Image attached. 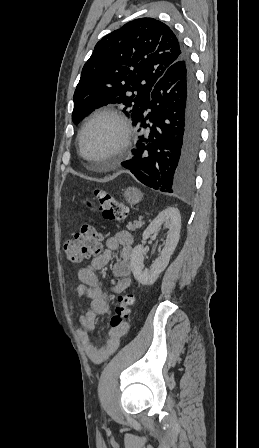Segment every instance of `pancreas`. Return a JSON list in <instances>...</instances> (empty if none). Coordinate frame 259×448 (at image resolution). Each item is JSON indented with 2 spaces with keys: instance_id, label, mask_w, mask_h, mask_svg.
<instances>
[{
  "instance_id": "cf45deb5",
  "label": "pancreas",
  "mask_w": 259,
  "mask_h": 448,
  "mask_svg": "<svg viewBox=\"0 0 259 448\" xmlns=\"http://www.w3.org/2000/svg\"><path fill=\"white\" fill-rule=\"evenodd\" d=\"M141 226H143V222H134V224H132V222H128L126 228H128V230H131V232H134V230H137V228H141Z\"/></svg>"
}]
</instances>
